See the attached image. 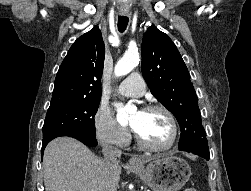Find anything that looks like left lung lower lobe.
Listing matches in <instances>:
<instances>
[{
  "label": "left lung lower lobe",
  "instance_id": "1",
  "mask_svg": "<svg viewBox=\"0 0 251 191\" xmlns=\"http://www.w3.org/2000/svg\"><path fill=\"white\" fill-rule=\"evenodd\" d=\"M183 151H187V152L196 154V155H198V156H201V157L205 158L206 160H209V157H210V155H209V156H207V155H202L200 152H198L197 150H194V149H186V150H183Z\"/></svg>",
  "mask_w": 251,
  "mask_h": 191
}]
</instances>
